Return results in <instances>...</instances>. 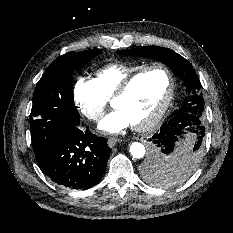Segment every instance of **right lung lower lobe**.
Returning a JSON list of instances; mask_svg holds the SVG:
<instances>
[{"label":"right lung lower lobe","instance_id":"obj_1","mask_svg":"<svg viewBox=\"0 0 233 233\" xmlns=\"http://www.w3.org/2000/svg\"><path fill=\"white\" fill-rule=\"evenodd\" d=\"M110 152L105 138L78 123L60 132L39 167L59 185L86 190L99 182Z\"/></svg>","mask_w":233,"mask_h":233}]
</instances>
